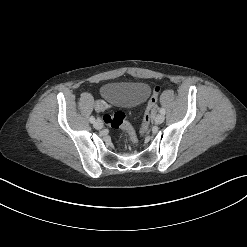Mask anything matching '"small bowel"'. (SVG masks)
Segmentation results:
<instances>
[{
    "label": "small bowel",
    "mask_w": 247,
    "mask_h": 247,
    "mask_svg": "<svg viewBox=\"0 0 247 247\" xmlns=\"http://www.w3.org/2000/svg\"><path fill=\"white\" fill-rule=\"evenodd\" d=\"M96 109L102 111L105 109V105L99 102L96 104Z\"/></svg>",
    "instance_id": "c3829d8e"
}]
</instances>
